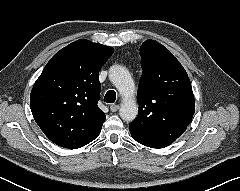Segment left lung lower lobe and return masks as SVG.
<instances>
[{"label":"left lung lower lobe","instance_id":"0a47b994","mask_svg":"<svg viewBox=\"0 0 240 191\" xmlns=\"http://www.w3.org/2000/svg\"><path fill=\"white\" fill-rule=\"evenodd\" d=\"M131 136L133 137L134 140L137 141V139H136L133 135H131ZM137 142H138V141H137ZM139 143L142 144L143 142L139 141ZM142 145H144V144H142ZM145 146H146V145H145ZM148 147H150V146H148ZM152 148H153V147H152Z\"/></svg>","mask_w":240,"mask_h":191}]
</instances>
